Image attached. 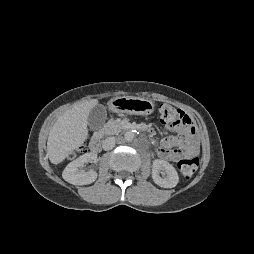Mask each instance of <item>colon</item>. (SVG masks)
Listing matches in <instances>:
<instances>
[{
  "label": "colon",
  "instance_id": "5ec220e1",
  "mask_svg": "<svg viewBox=\"0 0 254 254\" xmlns=\"http://www.w3.org/2000/svg\"><path fill=\"white\" fill-rule=\"evenodd\" d=\"M160 117L162 121L170 127L188 126L192 134L196 133L195 127L191 124L190 117L181 109L169 103L160 106ZM197 158H186L179 162L180 175L186 179L193 176L198 168Z\"/></svg>",
  "mask_w": 254,
  "mask_h": 254
}]
</instances>
